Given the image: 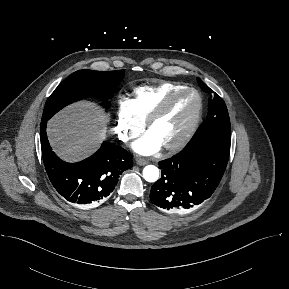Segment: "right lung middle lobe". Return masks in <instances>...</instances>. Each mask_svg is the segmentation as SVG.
<instances>
[{
  "label": "right lung middle lobe",
  "mask_w": 289,
  "mask_h": 289,
  "mask_svg": "<svg viewBox=\"0 0 289 289\" xmlns=\"http://www.w3.org/2000/svg\"><path fill=\"white\" fill-rule=\"evenodd\" d=\"M123 77L124 70L102 72L85 69L74 72L61 82L48 98L41 122L47 121L66 105L84 97L111 96ZM103 105L108 108L110 103L106 102Z\"/></svg>",
  "instance_id": "right-lung-middle-lobe-1"
}]
</instances>
